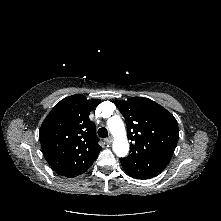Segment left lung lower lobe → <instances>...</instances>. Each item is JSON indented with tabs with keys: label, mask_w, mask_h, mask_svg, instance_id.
<instances>
[{
	"label": "left lung lower lobe",
	"mask_w": 221,
	"mask_h": 221,
	"mask_svg": "<svg viewBox=\"0 0 221 221\" xmlns=\"http://www.w3.org/2000/svg\"><path fill=\"white\" fill-rule=\"evenodd\" d=\"M124 170L137 179H149L159 175L167 165L162 163H137L127 158H121Z\"/></svg>",
	"instance_id": "1"
}]
</instances>
